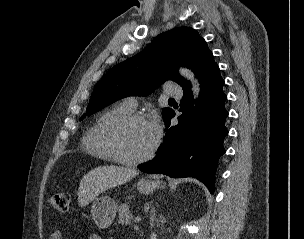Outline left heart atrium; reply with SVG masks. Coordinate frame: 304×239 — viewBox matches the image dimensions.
<instances>
[{"instance_id":"1","label":"left heart atrium","mask_w":304,"mask_h":239,"mask_svg":"<svg viewBox=\"0 0 304 239\" xmlns=\"http://www.w3.org/2000/svg\"><path fill=\"white\" fill-rule=\"evenodd\" d=\"M148 127L150 129L151 134L153 135L154 138H156L159 134L160 126L159 122L156 118H153L148 122Z\"/></svg>"}]
</instances>
